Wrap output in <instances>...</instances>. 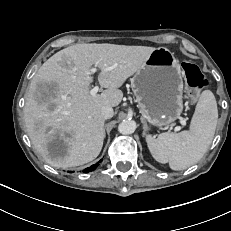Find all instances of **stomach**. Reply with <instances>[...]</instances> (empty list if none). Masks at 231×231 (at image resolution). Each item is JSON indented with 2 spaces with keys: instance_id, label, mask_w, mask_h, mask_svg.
Masks as SVG:
<instances>
[{
  "instance_id": "0dacf381",
  "label": "stomach",
  "mask_w": 231,
  "mask_h": 231,
  "mask_svg": "<svg viewBox=\"0 0 231 231\" xmlns=\"http://www.w3.org/2000/svg\"><path fill=\"white\" fill-rule=\"evenodd\" d=\"M143 118L154 126L169 125L183 109V80L178 60L165 47L154 50L131 78Z\"/></svg>"
}]
</instances>
